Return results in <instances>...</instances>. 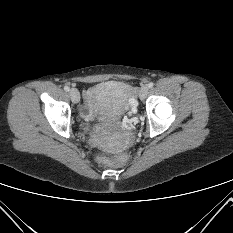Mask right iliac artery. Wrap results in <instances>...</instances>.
Wrapping results in <instances>:
<instances>
[{
    "mask_svg": "<svg viewBox=\"0 0 233 233\" xmlns=\"http://www.w3.org/2000/svg\"><path fill=\"white\" fill-rule=\"evenodd\" d=\"M69 87L68 86H64V90L66 91V92H68L69 91Z\"/></svg>",
    "mask_w": 233,
    "mask_h": 233,
    "instance_id": "1",
    "label": "right iliac artery"
}]
</instances>
